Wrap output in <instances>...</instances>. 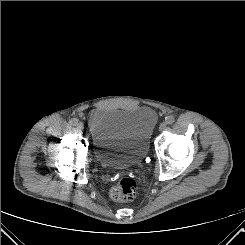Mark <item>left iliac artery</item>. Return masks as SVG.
Here are the masks:
<instances>
[{"label": "left iliac artery", "instance_id": "44dca946", "mask_svg": "<svg viewBox=\"0 0 245 245\" xmlns=\"http://www.w3.org/2000/svg\"><path fill=\"white\" fill-rule=\"evenodd\" d=\"M165 120H166V123H167L168 125H171V124L174 123L175 118H174L172 115H170V116H167Z\"/></svg>", "mask_w": 245, "mask_h": 245}]
</instances>
